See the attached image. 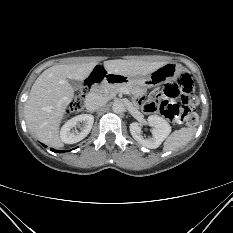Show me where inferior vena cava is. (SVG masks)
I'll return each mask as SVG.
<instances>
[{"mask_svg":"<svg viewBox=\"0 0 233 233\" xmlns=\"http://www.w3.org/2000/svg\"><path fill=\"white\" fill-rule=\"evenodd\" d=\"M106 104V99L102 95L89 94L85 98V107L89 111H95Z\"/></svg>","mask_w":233,"mask_h":233,"instance_id":"inferior-vena-cava-1","label":"inferior vena cava"}]
</instances>
